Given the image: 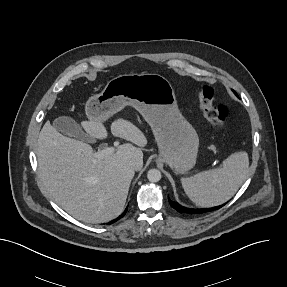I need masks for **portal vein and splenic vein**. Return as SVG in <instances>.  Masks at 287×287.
I'll return each mask as SVG.
<instances>
[{"instance_id":"1","label":"portal vein and splenic vein","mask_w":287,"mask_h":287,"mask_svg":"<svg viewBox=\"0 0 287 287\" xmlns=\"http://www.w3.org/2000/svg\"><path fill=\"white\" fill-rule=\"evenodd\" d=\"M118 145H119V142L115 141L114 147H104L103 149L98 150L95 153V157L97 159H104L105 157L112 155L115 152L116 147H118Z\"/></svg>"}]
</instances>
